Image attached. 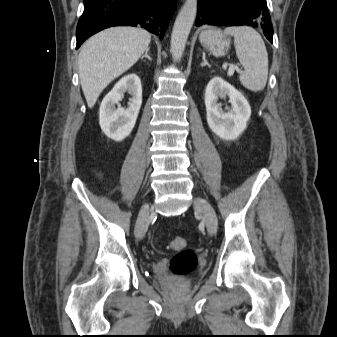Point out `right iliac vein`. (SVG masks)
<instances>
[{
	"label": "right iliac vein",
	"mask_w": 337,
	"mask_h": 337,
	"mask_svg": "<svg viewBox=\"0 0 337 337\" xmlns=\"http://www.w3.org/2000/svg\"><path fill=\"white\" fill-rule=\"evenodd\" d=\"M150 221V207L148 204H144L139 212L138 219H137V224L135 227V236L138 239H142L148 229Z\"/></svg>",
	"instance_id": "right-iliac-vein-1"
}]
</instances>
